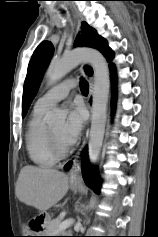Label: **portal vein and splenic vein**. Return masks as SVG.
Returning <instances> with one entry per match:
<instances>
[{
    "instance_id": "1",
    "label": "portal vein and splenic vein",
    "mask_w": 158,
    "mask_h": 237,
    "mask_svg": "<svg viewBox=\"0 0 158 237\" xmlns=\"http://www.w3.org/2000/svg\"><path fill=\"white\" fill-rule=\"evenodd\" d=\"M74 220L73 219H66L63 222L60 223L59 225V230H65L66 228L70 227L73 224Z\"/></svg>"
}]
</instances>
